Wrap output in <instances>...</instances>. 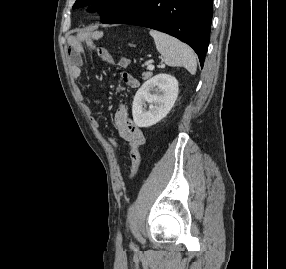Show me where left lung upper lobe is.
<instances>
[{
  "label": "left lung upper lobe",
  "mask_w": 286,
  "mask_h": 269,
  "mask_svg": "<svg viewBox=\"0 0 286 269\" xmlns=\"http://www.w3.org/2000/svg\"><path fill=\"white\" fill-rule=\"evenodd\" d=\"M146 0H76L73 9L91 3L103 2L104 6H94L89 11L101 13V22L114 24L140 8Z\"/></svg>",
  "instance_id": "5c2ea615"
}]
</instances>
